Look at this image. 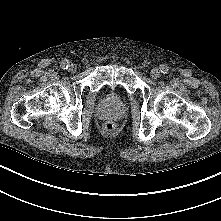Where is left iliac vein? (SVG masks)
<instances>
[{
	"label": "left iliac vein",
	"mask_w": 221,
	"mask_h": 221,
	"mask_svg": "<svg viewBox=\"0 0 221 221\" xmlns=\"http://www.w3.org/2000/svg\"><path fill=\"white\" fill-rule=\"evenodd\" d=\"M150 76L154 79L160 77V70L158 68H153L150 72Z\"/></svg>",
	"instance_id": "4c4485c4"
}]
</instances>
